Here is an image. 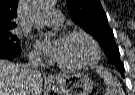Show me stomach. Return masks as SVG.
Listing matches in <instances>:
<instances>
[{
  "label": "stomach",
  "mask_w": 135,
  "mask_h": 95,
  "mask_svg": "<svg viewBox=\"0 0 135 95\" xmlns=\"http://www.w3.org/2000/svg\"><path fill=\"white\" fill-rule=\"evenodd\" d=\"M49 86L59 95H90L93 90V81L82 73L60 77L56 83Z\"/></svg>",
  "instance_id": "stomach-1"
}]
</instances>
